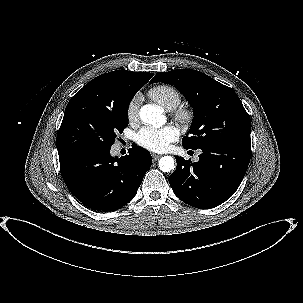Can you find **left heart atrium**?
<instances>
[{"instance_id":"1","label":"left heart atrium","mask_w":303,"mask_h":303,"mask_svg":"<svg viewBox=\"0 0 303 303\" xmlns=\"http://www.w3.org/2000/svg\"><path fill=\"white\" fill-rule=\"evenodd\" d=\"M179 137V130L173 125L160 128L144 127L136 135V143L153 152H164Z\"/></svg>"}]
</instances>
